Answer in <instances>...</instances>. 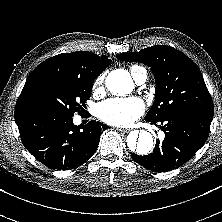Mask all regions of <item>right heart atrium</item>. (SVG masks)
Wrapping results in <instances>:
<instances>
[{
  "label": "right heart atrium",
  "instance_id": "obj_1",
  "mask_svg": "<svg viewBox=\"0 0 222 222\" xmlns=\"http://www.w3.org/2000/svg\"><path fill=\"white\" fill-rule=\"evenodd\" d=\"M102 83V78H98L94 83V88L98 89Z\"/></svg>",
  "mask_w": 222,
  "mask_h": 222
}]
</instances>
